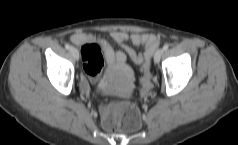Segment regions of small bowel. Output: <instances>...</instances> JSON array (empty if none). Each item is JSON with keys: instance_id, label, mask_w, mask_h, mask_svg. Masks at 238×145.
<instances>
[{"instance_id": "obj_1", "label": "small bowel", "mask_w": 238, "mask_h": 145, "mask_svg": "<svg viewBox=\"0 0 238 145\" xmlns=\"http://www.w3.org/2000/svg\"><path fill=\"white\" fill-rule=\"evenodd\" d=\"M110 37L121 45L124 51H114L105 39L93 34L76 32L71 36V40L77 45H84L88 42L97 43L102 55L110 64L124 63L126 56H128L135 64L141 66L143 73L142 88L144 90L148 89L150 86L151 57L158 46L157 36L151 33H128L123 30H114L110 33ZM129 43L134 46H143V53L137 52Z\"/></svg>"}]
</instances>
